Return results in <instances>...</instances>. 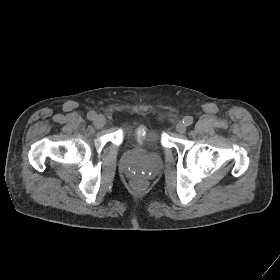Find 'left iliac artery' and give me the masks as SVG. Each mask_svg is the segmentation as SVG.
Masks as SVG:
<instances>
[{
    "label": "left iliac artery",
    "instance_id": "1",
    "mask_svg": "<svg viewBox=\"0 0 280 280\" xmlns=\"http://www.w3.org/2000/svg\"><path fill=\"white\" fill-rule=\"evenodd\" d=\"M183 123L186 125V126H189L193 123V118L191 116H185L183 118Z\"/></svg>",
    "mask_w": 280,
    "mask_h": 280
}]
</instances>
